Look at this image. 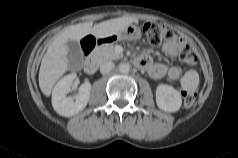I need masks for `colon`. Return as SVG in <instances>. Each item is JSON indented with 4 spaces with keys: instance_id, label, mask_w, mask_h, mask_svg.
Listing matches in <instances>:
<instances>
[{
    "instance_id": "1",
    "label": "colon",
    "mask_w": 238,
    "mask_h": 158,
    "mask_svg": "<svg viewBox=\"0 0 238 158\" xmlns=\"http://www.w3.org/2000/svg\"><path fill=\"white\" fill-rule=\"evenodd\" d=\"M141 27L147 36L148 42L152 46H159L163 42H167V41L174 40V39L178 38L177 34L172 29H170L169 27L162 25V24L147 21V22H144L141 25ZM92 42H93L92 38H87L84 41V45L90 44ZM179 59L183 63L190 65V66L196 65L197 61H198V57H197L195 49L193 48V46L190 43H188L184 40L182 43L181 50L179 52ZM182 97H183L184 106L190 107L193 105V103L195 101L196 92L193 90L183 89Z\"/></svg>"
}]
</instances>
